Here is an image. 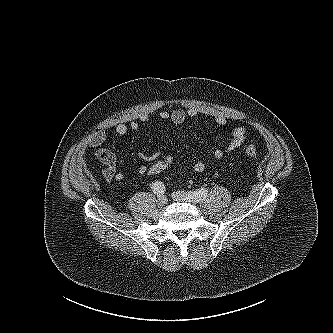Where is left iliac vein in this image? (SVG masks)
<instances>
[{
	"mask_svg": "<svg viewBox=\"0 0 333 333\" xmlns=\"http://www.w3.org/2000/svg\"><path fill=\"white\" fill-rule=\"evenodd\" d=\"M172 197L176 201L191 203L192 201L190 195L183 191H176L172 193Z\"/></svg>",
	"mask_w": 333,
	"mask_h": 333,
	"instance_id": "4c4485c4",
	"label": "left iliac vein"
}]
</instances>
